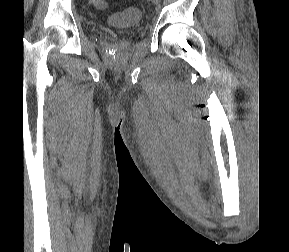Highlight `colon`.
<instances>
[{"label": "colon", "instance_id": "1", "mask_svg": "<svg viewBox=\"0 0 289 252\" xmlns=\"http://www.w3.org/2000/svg\"><path fill=\"white\" fill-rule=\"evenodd\" d=\"M92 4L95 8L99 10H104L106 8L105 0H92ZM140 19V12L135 7H128L124 9L118 15H114L110 18L111 24L115 26H122L130 23H136Z\"/></svg>", "mask_w": 289, "mask_h": 252}]
</instances>
